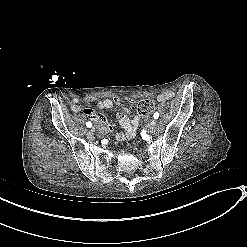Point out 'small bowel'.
Masks as SVG:
<instances>
[{"mask_svg": "<svg viewBox=\"0 0 247 247\" xmlns=\"http://www.w3.org/2000/svg\"><path fill=\"white\" fill-rule=\"evenodd\" d=\"M173 97L172 92H165L158 96L157 100L159 102H165ZM88 102H96L97 107L99 109H112L116 105H120L122 103V98L120 97H114L113 99H98L95 96H89L86 98ZM129 102H132V99H128ZM71 109L74 112H80L82 111V106L79 98H74L71 104ZM128 109L124 108L122 112L117 113V121L119 122L120 126L123 128V131L118 132L116 134V139L119 141H124L127 139L133 138L138 130L139 124H140V117L138 115H135L133 118H128L127 116ZM85 115L94 120L97 119V121L102 122L105 119V115L102 112L97 113H91L89 112V109L84 110Z\"/></svg>", "mask_w": 247, "mask_h": 247, "instance_id": "1", "label": "small bowel"}]
</instances>
